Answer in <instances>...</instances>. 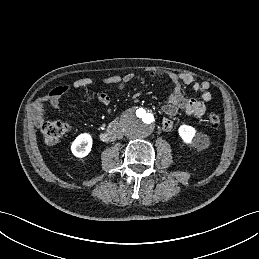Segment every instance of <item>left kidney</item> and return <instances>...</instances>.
I'll list each match as a JSON object with an SVG mask.
<instances>
[{
	"mask_svg": "<svg viewBox=\"0 0 259 259\" xmlns=\"http://www.w3.org/2000/svg\"><path fill=\"white\" fill-rule=\"evenodd\" d=\"M179 136L186 144H195L201 137L196 135V130L189 125H181L178 129Z\"/></svg>",
	"mask_w": 259,
	"mask_h": 259,
	"instance_id": "left-kidney-1",
	"label": "left kidney"
}]
</instances>
